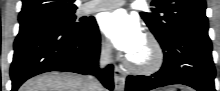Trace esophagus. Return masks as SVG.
<instances>
[{
	"mask_svg": "<svg viewBox=\"0 0 220 91\" xmlns=\"http://www.w3.org/2000/svg\"><path fill=\"white\" fill-rule=\"evenodd\" d=\"M125 82H126V73L121 67H119L118 65H115L114 67L115 89L117 91H123L125 87Z\"/></svg>",
	"mask_w": 220,
	"mask_h": 91,
	"instance_id": "obj_1",
	"label": "esophagus"
}]
</instances>
